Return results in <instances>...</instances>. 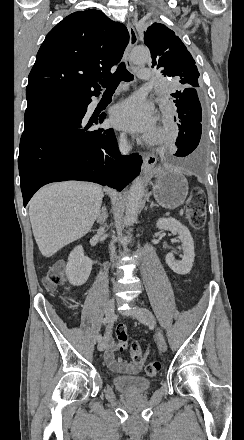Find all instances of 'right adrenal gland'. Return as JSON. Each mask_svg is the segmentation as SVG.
I'll return each instance as SVG.
<instances>
[{"label": "right adrenal gland", "mask_w": 244, "mask_h": 440, "mask_svg": "<svg viewBox=\"0 0 244 440\" xmlns=\"http://www.w3.org/2000/svg\"><path fill=\"white\" fill-rule=\"evenodd\" d=\"M106 218H108V212L105 208V206H102L99 214H97V222H99V224H104V222H106Z\"/></svg>", "instance_id": "1"}]
</instances>
